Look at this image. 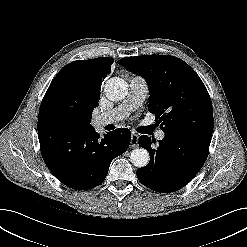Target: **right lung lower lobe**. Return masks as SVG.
<instances>
[{"label": "right lung lower lobe", "mask_w": 247, "mask_h": 247, "mask_svg": "<svg viewBox=\"0 0 247 247\" xmlns=\"http://www.w3.org/2000/svg\"><path fill=\"white\" fill-rule=\"evenodd\" d=\"M44 162L64 185L86 190L100 185L111 161L129 147L131 131L119 128L103 137L94 130L68 131L38 123Z\"/></svg>", "instance_id": "right-lung-lower-lobe-1"}]
</instances>
